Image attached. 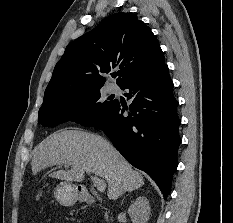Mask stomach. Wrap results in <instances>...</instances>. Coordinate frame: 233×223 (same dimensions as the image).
<instances>
[{
  "mask_svg": "<svg viewBox=\"0 0 233 223\" xmlns=\"http://www.w3.org/2000/svg\"><path fill=\"white\" fill-rule=\"evenodd\" d=\"M53 195L58 203L67 205V207L75 205L80 197L78 185L72 183V181H61V183H58L53 191Z\"/></svg>",
  "mask_w": 233,
  "mask_h": 223,
  "instance_id": "obj_1",
  "label": "stomach"
}]
</instances>
